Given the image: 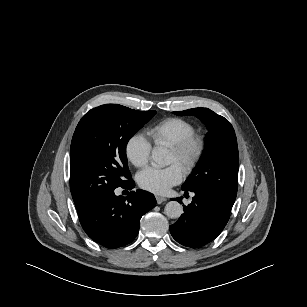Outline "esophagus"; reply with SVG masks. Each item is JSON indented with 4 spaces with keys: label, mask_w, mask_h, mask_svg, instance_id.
<instances>
[{
    "label": "esophagus",
    "mask_w": 307,
    "mask_h": 307,
    "mask_svg": "<svg viewBox=\"0 0 307 307\" xmlns=\"http://www.w3.org/2000/svg\"><path fill=\"white\" fill-rule=\"evenodd\" d=\"M155 198L158 204H161L167 200L165 197L159 195H156Z\"/></svg>",
    "instance_id": "obj_1"
}]
</instances>
